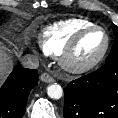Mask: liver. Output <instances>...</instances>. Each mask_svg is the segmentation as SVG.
<instances>
[{
    "label": "liver",
    "mask_w": 118,
    "mask_h": 118,
    "mask_svg": "<svg viewBox=\"0 0 118 118\" xmlns=\"http://www.w3.org/2000/svg\"><path fill=\"white\" fill-rule=\"evenodd\" d=\"M13 68V62L6 48L0 45V85L6 79Z\"/></svg>",
    "instance_id": "obj_1"
}]
</instances>
